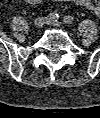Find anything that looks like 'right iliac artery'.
Instances as JSON below:
<instances>
[{"mask_svg": "<svg viewBox=\"0 0 100 118\" xmlns=\"http://www.w3.org/2000/svg\"><path fill=\"white\" fill-rule=\"evenodd\" d=\"M48 18L51 20L57 21L59 19V15L57 13L53 12L48 15Z\"/></svg>", "mask_w": 100, "mask_h": 118, "instance_id": "obj_1", "label": "right iliac artery"}]
</instances>
